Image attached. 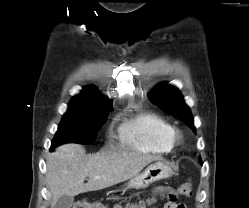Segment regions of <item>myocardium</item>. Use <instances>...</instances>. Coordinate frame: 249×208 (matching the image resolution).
I'll use <instances>...</instances> for the list:
<instances>
[{"mask_svg": "<svg viewBox=\"0 0 249 208\" xmlns=\"http://www.w3.org/2000/svg\"><path fill=\"white\" fill-rule=\"evenodd\" d=\"M181 135L177 132H174V134L172 135V143L173 145H177L180 143L181 141Z\"/></svg>", "mask_w": 249, "mask_h": 208, "instance_id": "f54148a6", "label": "myocardium"}]
</instances>
